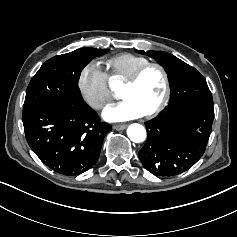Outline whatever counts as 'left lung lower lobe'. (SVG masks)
I'll return each instance as SVG.
<instances>
[{"label": "left lung lower lobe", "instance_id": "obj_1", "mask_svg": "<svg viewBox=\"0 0 237 237\" xmlns=\"http://www.w3.org/2000/svg\"><path fill=\"white\" fill-rule=\"evenodd\" d=\"M172 120H200L208 127H212L214 119V106L211 105H196L188 107L175 108L165 114ZM198 160H182L181 164L192 167Z\"/></svg>", "mask_w": 237, "mask_h": 237}]
</instances>
